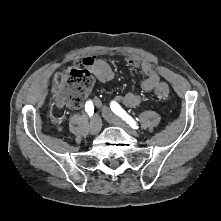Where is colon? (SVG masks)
Returning <instances> with one entry per match:
<instances>
[{
  "label": "colon",
  "instance_id": "obj_1",
  "mask_svg": "<svg viewBox=\"0 0 221 221\" xmlns=\"http://www.w3.org/2000/svg\"><path fill=\"white\" fill-rule=\"evenodd\" d=\"M93 84L94 80L90 71L82 66L66 69L56 74L53 80V86L60 101L72 107L82 105ZM154 92L156 97L161 100L170 98V89L165 82L158 83Z\"/></svg>",
  "mask_w": 221,
  "mask_h": 221
}]
</instances>
